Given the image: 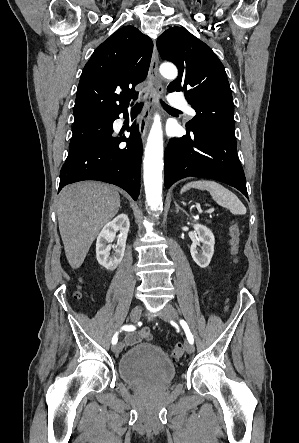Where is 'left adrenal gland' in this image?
Here are the masks:
<instances>
[{
  "label": "left adrenal gland",
  "mask_w": 299,
  "mask_h": 443,
  "mask_svg": "<svg viewBox=\"0 0 299 443\" xmlns=\"http://www.w3.org/2000/svg\"><path fill=\"white\" fill-rule=\"evenodd\" d=\"M174 204H175V206H176V212H178L179 210H181V211H183L184 213H186V211H185L183 208H181V207L177 204V202L174 201Z\"/></svg>",
  "instance_id": "1"
}]
</instances>
